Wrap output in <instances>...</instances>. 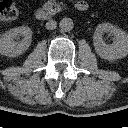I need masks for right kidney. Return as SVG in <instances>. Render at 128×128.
Segmentation results:
<instances>
[{"label":"right kidney","instance_id":"ca27d5eb","mask_svg":"<svg viewBox=\"0 0 128 128\" xmlns=\"http://www.w3.org/2000/svg\"><path fill=\"white\" fill-rule=\"evenodd\" d=\"M20 37H22L21 40ZM32 31L28 26H20L6 31L0 38V54L17 57L31 45Z\"/></svg>","mask_w":128,"mask_h":128}]
</instances>
